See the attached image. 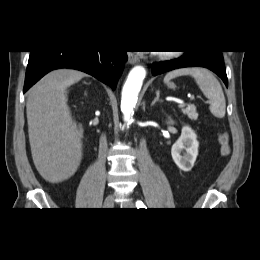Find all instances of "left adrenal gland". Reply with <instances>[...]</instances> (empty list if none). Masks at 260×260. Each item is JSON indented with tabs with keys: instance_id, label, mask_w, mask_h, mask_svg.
<instances>
[{
	"instance_id": "obj_1",
	"label": "left adrenal gland",
	"mask_w": 260,
	"mask_h": 260,
	"mask_svg": "<svg viewBox=\"0 0 260 260\" xmlns=\"http://www.w3.org/2000/svg\"><path fill=\"white\" fill-rule=\"evenodd\" d=\"M159 96H160V92L159 91H156V97H155V99L152 101V103H151V106H153L156 102H158V101H162V100H160L159 99Z\"/></svg>"
}]
</instances>
